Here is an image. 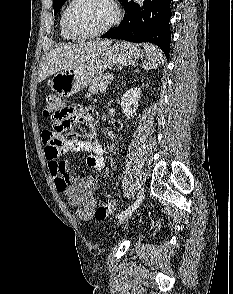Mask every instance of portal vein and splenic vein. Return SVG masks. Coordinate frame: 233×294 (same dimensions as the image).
Wrapping results in <instances>:
<instances>
[{
	"instance_id": "18ae733b",
	"label": "portal vein and splenic vein",
	"mask_w": 233,
	"mask_h": 294,
	"mask_svg": "<svg viewBox=\"0 0 233 294\" xmlns=\"http://www.w3.org/2000/svg\"><path fill=\"white\" fill-rule=\"evenodd\" d=\"M109 80H113L114 79V76L113 75H109Z\"/></svg>"
}]
</instances>
